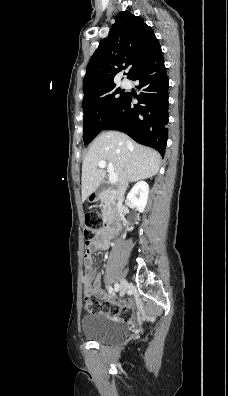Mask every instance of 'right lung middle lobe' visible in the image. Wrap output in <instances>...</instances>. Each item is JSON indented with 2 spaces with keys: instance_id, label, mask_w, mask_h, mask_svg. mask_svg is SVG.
Instances as JSON below:
<instances>
[{
  "instance_id": "dd1d6c3e",
  "label": "right lung middle lobe",
  "mask_w": 228,
  "mask_h": 396,
  "mask_svg": "<svg viewBox=\"0 0 228 396\" xmlns=\"http://www.w3.org/2000/svg\"><path fill=\"white\" fill-rule=\"evenodd\" d=\"M127 93L114 85L92 92L83 98V140L90 143L113 116Z\"/></svg>"
}]
</instances>
